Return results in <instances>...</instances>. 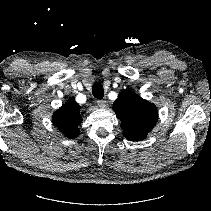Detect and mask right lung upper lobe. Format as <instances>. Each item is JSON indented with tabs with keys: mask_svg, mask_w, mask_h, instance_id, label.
<instances>
[{
	"mask_svg": "<svg viewBox=\"0 0 211 211\" xmlns=\"http://www.w3.org/2000/svg\"><path fill=\"white\" fill-rule=\"evenodd\" d=\"M81 107L69 100L52 116V122L68 138H76L79 135L78 125L82 122Z\"/></svg>",
	"mask_w": 211,
	"mask_h": 211,
	"instance_id": "obj_1",
	"label": "right lung upper lobe"
}]
</instances>
